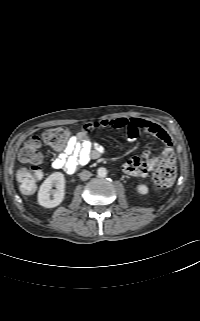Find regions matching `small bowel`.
Returning a JSON list of instances; mask_svg holds the SVG:
<instances>
[{"instance_id": "1", "label": "small bowel", "mask_w": 200, "mask_h": 321, "mask_svg": "<svg viewBox=\"0 0 200 321\" xmlns=\"http://www.w3.org/2000/svg\"><path fill=\"white\" fill-rule=\"evenodd\" d=\"M99 128L124 131L128 141H134L139 132L143 131L148 136L155 137L165 144L163 154L173 152L170 135L157 123L142 118L103 119L84 124L81 131L72 136L63 149L58 150L59 154L52 161V167L71 174L79 166L100 157L105 152V147L98 142H92L89 138L90 133ZM159 157H153L149 150H145L141 156H134L125 162L122 167L123 172L131 176L145 177L153 170Z\"/></svg>"}]
</instances>
